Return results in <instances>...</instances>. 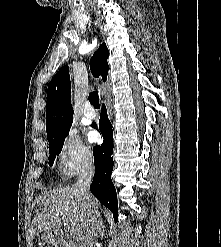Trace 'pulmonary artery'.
Wrapping results in <instances>:
<instances>
[{"label":"pulmonary artery","instance_id":"e3ab8cb5","mask_svg":"<svg viewBox=\"0 0 221 247\" xmlns=\"http://www.w3.org/2000/svg\"><path fill=\"white\" fill-rule=\"evenodd\" d=\"M84 115L88 119H94L96 116V113H95L94 109L88 104L84 110Z\"/></svg>","mask_w":221,"mask_h":247}]
</instances>
